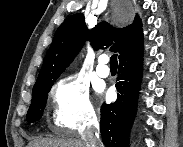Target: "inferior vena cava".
I'll list each match as a JSON object with an SVG mask.
<instances>
[{
    "mask_svg": "<svg viewBox=\"0 0 183 147\" xmlns=\"http://www.w3.org/2000/svg\"><path fill=\"white\" fill-rule=\"evenodd\" d=\"M82 139L84 140L86 147H100L101 140L99 137V123L97 118H93L90 126L82 134Z\"/></svg>",
    "mask_w": 183,
    "mask_h": 147,
    "instance_id": "1",
    "label": "inferior vena cava"
}]
</instances>
